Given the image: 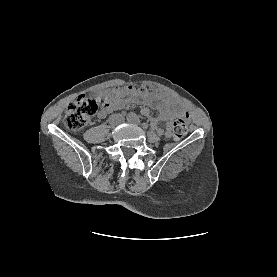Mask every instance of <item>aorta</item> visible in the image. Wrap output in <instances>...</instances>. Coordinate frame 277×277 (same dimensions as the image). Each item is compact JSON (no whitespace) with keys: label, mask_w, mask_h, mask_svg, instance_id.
Masks as SVG:
<instances>
[{"label":"aorta","mask_w":277,"mask_h":277,"mask_svg":"<svg viewBox=\"0 0 277 277\" xmlns=\"http://www.w3.org/2000/svg\"><path fill=\"white\" fill-rule=\"evenodd\" d=\"M128 121H135L137 119V115L133 112L129 113L127 116Z\"/></svg>","instance_id":"1"}]
</instances>
